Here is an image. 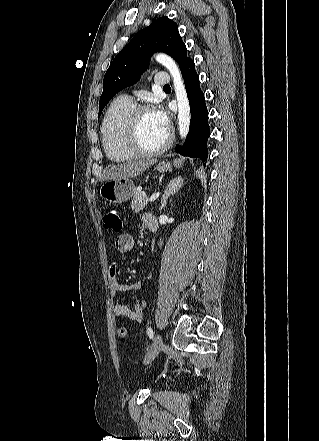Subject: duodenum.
<instances>
[{
    "label": "duodenum",
    "instance_id": "410a0bca",
    "mask_svg": "<svg viewBox=\"0 0 319 441\" xmlns=\"http://www.w3.org/2000/svg\"><path fill=\"white\" fill-rule=\"evenodd\" d=\"M149 229H150V230H154L155 227H154V226H150Z\"/></svg>",
    "mask_w": 319,
    "mask_h": 441
}]
</instances>
